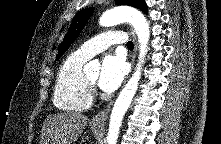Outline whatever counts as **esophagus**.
Instances as JSON below:
<instances>
[{"label":"esophagus","instance_id":"esophagus-1","mask_svg":"<svg viewBox=\"0 0 221 144\" xmlns=\"http://www.w3.org/2000/svg\"><path fill=\"white\" fill-rule=\"evenodd\" d=\"M130 34H131V37L134 42V49H133L132 56H131V64L133 65L134 60H135V56H136V52H137V38H136L134 30L131 29ZM112 104H113V102H110L107 106H105L95 117H93L91 122L96 125L104 124V121L106 120V118L110 112Z\"/></svg>","mask_w":221,"mask_h":144}]
</instances>
